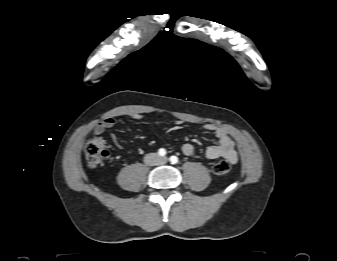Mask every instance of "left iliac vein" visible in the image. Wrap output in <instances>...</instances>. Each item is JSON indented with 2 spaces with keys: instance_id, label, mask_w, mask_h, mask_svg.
I'll use <instances>...</instances> for the list:
<instances>
[{
  "instance_id": "left-iliac-vein-1",
  "label": "left iliac vein",
  "mask_w": 337,
  "mask_h": 261,
  "mask_svg": "<svg viewBox=\"0 0 337 261\" xmlns=\"http://www.w3.org/2000/svg\"><path fill=\"white\" fill-rule=\"evenodd\" d=\"M160 161H161L162 163H166V162L168 161V158H167V157H163V158L160 159Z\"/></svg>"
}]
</instances>
